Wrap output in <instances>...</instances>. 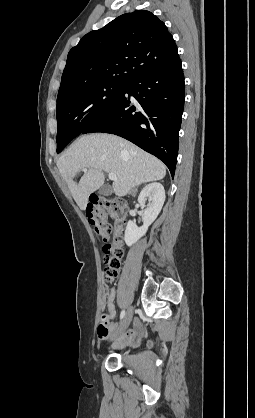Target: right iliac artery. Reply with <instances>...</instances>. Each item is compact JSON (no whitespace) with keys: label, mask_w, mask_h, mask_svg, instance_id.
Wrapping results in <instances>:
<instances>
[{"label":"right iliac artery","mask_w":255,"mask_h":418,"mask_svg":"<svg viewBox=\"0 0 255 418\" xmlns=\"http://www.w3.org/2000/svg\"><path fill=\"white\" fill-rule=\"evenodd\" d=\"M125 310H122V312H121V314H120V319L122 320L123 318H124V316H125Z\"/></svg>","instance_id":"obj_1"}]
</instances>
